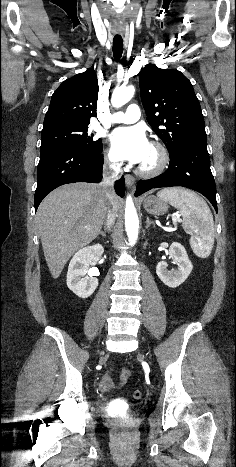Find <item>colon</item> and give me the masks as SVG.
<instances>
[{
	"mask_svg": "<svg viewBox=\"0 0 236 467\" xmlns=\"http://www.w3.org/2000/svg\"><path fill=\"white\" fill-rule=\"evenodd\" d=\"M133 396H134V398H136V399H140V398H142L143 393H142V391H140V390H136V391H134Z\"/></svg>",
	"mask_w": 236,
	"mask_h": 467,
	"instance_id": "obj_1",
	"label": "colon"
}]
</instances>
